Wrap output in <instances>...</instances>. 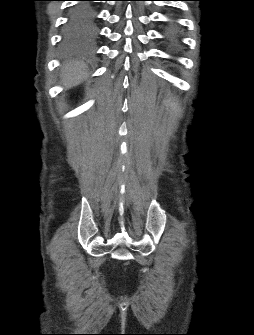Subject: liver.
I'll list each match as a JSON object with an SVG mask.
<instances>
[{
	"label": "liver",
	"mask_w": 254,
	"mask_h": 335,
	"mask_svg": "<svg viewBox=\"0 0 254 335\" xmlns=\"http://www.w3.org/2000/svg\"><path fill=\"white\" fill-rule=\"evenodd\" d=\"M88 76L85 63L80 61L67 62L62 67V84L69 88L81 83Z\"/></svg>",
	"instance_id": "obj_1"
}]
</instances>
